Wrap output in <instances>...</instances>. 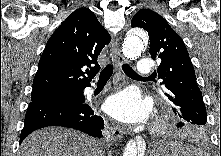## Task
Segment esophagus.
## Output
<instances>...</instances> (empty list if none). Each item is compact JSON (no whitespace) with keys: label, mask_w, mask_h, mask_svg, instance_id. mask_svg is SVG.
Here are the masks:
<instances>
[{"label":"esophagus","mask_w":221,"mask_h":156,"mask_svg":"<svg viewBox=\"0 0 221 156\" xmlns=\"http://www.w3.org/2000/svg\"><path fill=\"white\" fill-rule=\"evenodd\" d=\"M111 51L113 57L115 58L116 69L120 71L121 65L125 62V58L122 55L118 39L113 42ZM111 132L115 139H121L123 135L126 134V130L120 127H113Z\"/></svg>","instance_id":"esophagus-1"}]
</instances>
